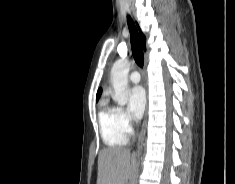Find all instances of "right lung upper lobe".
<instances>
[{"label":"right lung upper lobe","mask_w":235,"mask_h":184,"mask_svg":"<svg viewBox=\"0 0 235 184\" xmlns=\"http://www.w3.org/2000/svg\"><path fill=\"white\" fill-rule=\"evenodd\" d=\"M140 37H141V41H142V45H143V48H144V50H146V37L142 34V32L140 31ZM101 92H102V90H101V88L98 90V92H97V95H96V99L98 100L99 99V97H100V95H101Z\"/></svg>","instance_id":"1"}]
</instances>
